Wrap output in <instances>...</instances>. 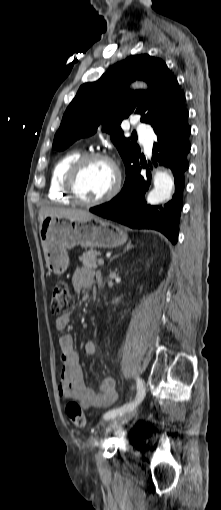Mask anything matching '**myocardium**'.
I'll return each instance as SVG.
<instances>
[{
  "label": "myocardium",
  "instance_id": "myocardium-1",
  "mask_svg": "<svg viewBox=\"0 0 221 510\" xmlns=\"http://www.w3.org/2000/svg\"><path fill=\"white\" fill-rule=\"evenodd\" d=\"M101 160L109 163L115 172V183L112 189L104 196L95 200L83 199L77 190V181L85 165L91 161ZM122 186V174L112 157L102 152H87L81 154L71 165L66 173L64 191L67 196L77 205L84 207L98 206L112 200L120 191Z\"/></svg>",
  "mask_w": 221,
  "mask_h": 510
}]
</instances>
